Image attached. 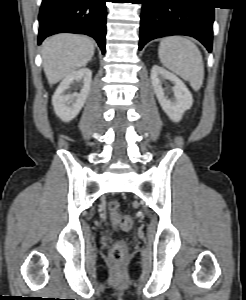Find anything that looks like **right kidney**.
<instances>
[{
	"label": "right kidney",
	"instance_id": "ca27d5eb",
	"mask_svg": "<svg viewBox=\"0 0 246 300\" xmlns=\"http://www.w3.org/2000/svg\"><path fill=\"white\" fill-rule=\"evenodd\" d=\"M91 78V70L82 68L70 73L62 80L52 97L55 114L62 121L69 122L78 115L89 95ZM81 83L83 85L80 93L65 94L71 85H80Z\"/></svg>",
	"mask_w": 246,
	"mask_h": 300
}]
</instances>
